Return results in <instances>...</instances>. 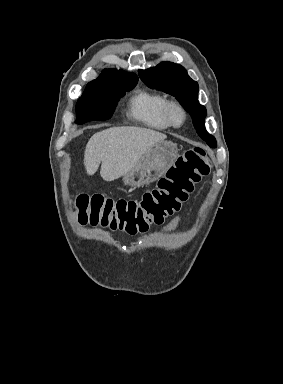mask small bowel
<instances>
[{
    "instance_id": "c3829d8e",
    "label": "small bowel",
    "mask_w": 283,
    "mask_h": 384,
    "mask_svg": "<svg viewBox=\"0 0 283 384\" xmlns=\"http://www.w3.org/2000/svg\"><path fill=\"white\" fill-rule=\"evenodd\" d=\"M179 221H180V217L179 216L173 218L168 224H166L162 228V232L167 233V232L173 231L174 229H176Z\"/></svg>"
}]
</instances>
